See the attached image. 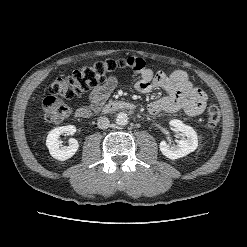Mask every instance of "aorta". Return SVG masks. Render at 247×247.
Listing matches in <instances>:
<instances>
[{
  "instance_id": "1",
  "label": "aorta",
  "mask_w": 247,
  "mask_h": 247,
  "mask_svg": "<svg viewBox=\"0 0 247 247\" xmlns=\"http://www.w3.org/2000/svg\"><path fill=\"white\" fill-rule=\"evenodd\" d=\"M115 122L117 125L125 126L128 124V115L124 112H120L117 114Z\"/></svg>"
}]
</instances>
